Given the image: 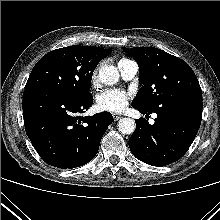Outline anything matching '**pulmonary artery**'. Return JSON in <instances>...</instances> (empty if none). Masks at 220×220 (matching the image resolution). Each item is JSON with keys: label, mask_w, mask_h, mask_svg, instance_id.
Instances as JSON below:
<instances>
[{"label": "pulmonary artery", "mask_w": 220, "mask_h": 220, "mask_svg": "<svg viewBox=\"0 0 220 220\" xmlns=\"http://www.w3.org/2000/svg\"><path fill=\"white\" fill-rule=\"evenodd\" d=\"M118 69L123 79L130 80L137 74L138 65L132 60L124 59L118 63Z\"/></svg>", "instance_id": "e3ab8cb5"}]
</instances>
